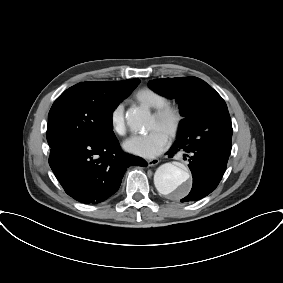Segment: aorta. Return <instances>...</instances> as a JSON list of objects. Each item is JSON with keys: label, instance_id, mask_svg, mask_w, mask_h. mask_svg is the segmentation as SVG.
I'll return each mask as SVG.
<instances>
[{"label": "aorta", "instance_id": "762f6f07", "mask_svg": "<svg viewBox=\"0 0 283 283\" xmlns=\"http://www.w3.org/2000/svg\"><path fill=\"white\" fill-rule=\"evenodd\" d=\"M149 118L150 113L145 109L130 108L126 112L127 124L134 131L141 130ZM189 177L187 168L165 163L155 172L154 184L160 194L179 198L189 190Z\"/></svg>", "mask_w": 283, "mask_h": 283}]
</instances>
